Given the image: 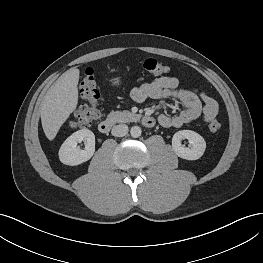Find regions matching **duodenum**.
Wrapping results in <instances>:
<instances>
[{
    "mask_svg": "<svg viewBox=\"0 0 263 263\" xmlns=\"http://www.w3.org/2000/svg\"><path fill=\"white\" fill-rule=\"evenodd\" d=\"M139 121L146 127H153L155 124V120L153 117L149 115H139L138 116ZM114 121L111 119H105L101 121L98 125V130L101 133H108L112 127L114 126Z\"/></svg>",
    "mask_w": 263,
    "mask_h": 263,
    "instance_id": "1",
    "label": "duodenum"
}]
</instances>
